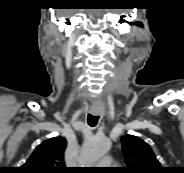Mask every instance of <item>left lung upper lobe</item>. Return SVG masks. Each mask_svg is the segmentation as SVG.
<instances>
[{
	"label": "left lung upper lobe",
	"instance_id": "5c2ea615",
	"mask_svg": "<svg viewBox=\"0 0 184 173\" xmlns=\"http://www.w3.org/2000/svg\"><path fill=\"white\" fill-rule=\"evenodd\" d=\"M121 141L127 164L122 173L163 172V168L146 142L133 135H126L121 138Z\"/></svg>",
	"mask_w": 184,
	"mask_h": 173
}]
</instances>
